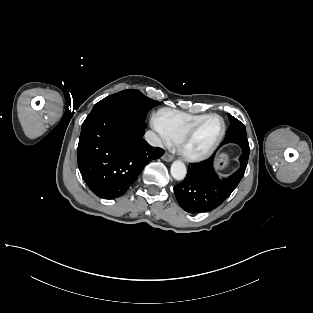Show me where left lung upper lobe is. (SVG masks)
<instances>
[{
    "label": "left lung upper lobe",
    "instance_id": "left-lung-upper-lobe-1",
    "mask_svg": "<svg viewBox=\"0 0 313 313\" xmlns=\"http://www.w3.org/2000/svg\"><path fill=\"white\" fill-rule=\"evenodd\" d=\"M228 118L231 123L228 127L225 138L233 137V136H246V128L244 124H242L238 119L228 114Z\"/></svg>",
    "mask_w": 313,
    "mask_h": 313
}]
</instances>
